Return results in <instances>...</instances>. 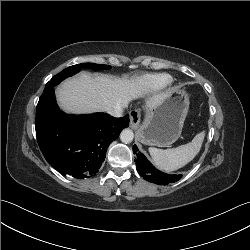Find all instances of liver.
Segmentation results:
<instances>
[{"label":"liver","instance_id":"obj_1","mask_svg":"<svg viewBox=\"0 0 250 250\" xmlns=\"http://www.w3.org/2000/svg\"><path fill=\"white\" fill-rule=\"evenodd\" d=\"M147 88L136 79L91 76L81 73L65 80L57 89L59 106L67 113L81 114L126 107L143 97ZM173 90L153 95L147 101L149 109L160 104Z\"/></svg>","mask_w":250,"mask_h":250}]
</instances>
